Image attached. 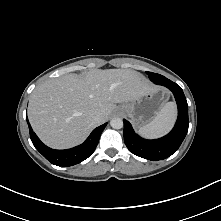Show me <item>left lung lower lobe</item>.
I'll return each instance as SVG.
<instances>
[{"instance_id": "1", "label": "left lung lower lobe", "mask_w": 221, "mask_h": 221, "mask_svg": "<svg viewBox=\"0 0 221 221\" xmlns=\"http://www.w3.org/2000/svg\"><path fill=\"white\" fill-rule=\"evenodd\" d=\"M159 85H163L173 92L178 106V118L169 134L160 139L146 140L134 132L127 120H123L124 142L127 148L133 154L152 161L166 159L175 153L183 142L189 126L188 104L183 90L171 80L164 81Z\"/></svg>"}]
</instances>
